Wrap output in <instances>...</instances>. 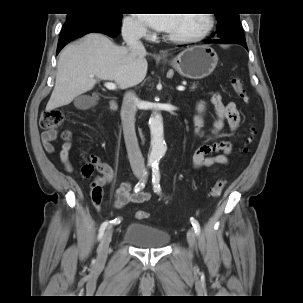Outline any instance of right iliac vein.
I'll return each mask as SVG.
<instances>
[{
  "label": "right iliac vein",
  "instance_id": "right-iliac-vein-1",
  "mask_svg": "<svg viewBox=\"0 0 303 303\" xmlns=\"http://www.w3.org/2000/svg\"><path fill=\"white\" fill-rule=\"evenodd\" d=\"M140 177V175H139ZM112 226L108 227L104 236L102 237L98 249H97V263L99 265H104L108 255L109 244L112 239Z\"/></svg>",
  "mask_w": 303,
  "mask_h": 303
}]
</instances>
